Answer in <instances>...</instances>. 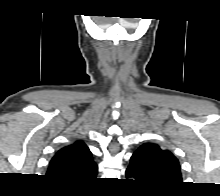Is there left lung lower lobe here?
Returning <instances> with one entry per match:
<instances>
[{"label":"left lung lower lobe","instance_id":"left-lung-lower-lobe-1","mask_svg":"<svg viewBox=\"0 0 220 196\" xmlns=\"http://www.w3.org/2000/svg\"><path fill=\"white\" fill-rule=\"evenodd\" d=\"M126 175H127V177H133V178L137 179L138 181L150 184L146 180L143 173L139 170V168L135 164V158L134 157H131V162H130V165L128 166L127 170H126Z\"/></svg>","mask_w":220,"mask_h":196}]
</instances>
